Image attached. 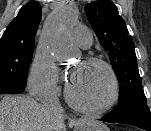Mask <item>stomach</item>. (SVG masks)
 Wrapping results in <instances>:
<instances>
[{
  "instance_id": "stomach-1",
  "label": "stomach",
  "mask_w": 151,
  "mask_h": 131,
  "mask_svg": "<svg viewBox=\"0 0 151 131\" xmlns=\"http://www.w3.org/2000/svg\"><path fill=\"white\" fill-rule=\"evenodd\" d=\"M75 131H109V128L102 122L83 119L75 123Z\"/></svg>"
}]
</instances>
